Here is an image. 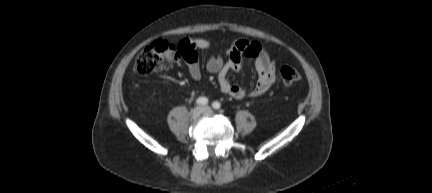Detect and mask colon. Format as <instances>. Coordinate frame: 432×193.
I'll list each match as a JSON object with an SVG mask.
<instances>
[{
    "instance_id": "1",
    "label": "colon",
    "mask_w": 432,
    "mask_h": 193,
    "mask_svg": "<svg viewBox=\"0 0 432 193\" xmlns=\"http://www.w3.org/2000/svg\"><path fill=\"white\" fill-rule=\"evenodd\" d=\"M179 61L177 48L164 40H157L138 55L133 65L135 73L148 76L170 68ZM280 78L285 85H291L302 79L301 73L291 67L284 66L280 69Z\"/></svg>"
}]
</instances>
